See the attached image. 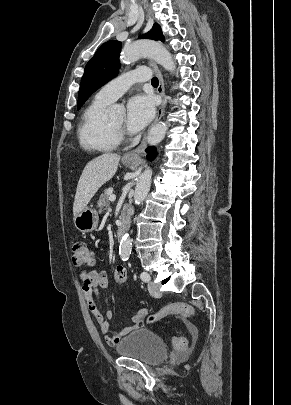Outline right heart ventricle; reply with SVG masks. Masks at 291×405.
<instances>
[{"label":"right heart ventricle","mask_w":291,"mask_h":405,"mask_svg":"<svg viewBox=\"0 0 291 405\" xmlns=\"http://www.w3.org/2000/svg\"><path fill=\"white\" fill-rule=\"evenodd\" d=\"M109 104L110 102L95 97L84 110L78 126V139L85 150L105 153L118 146V139L105 117Z\"/></svg>","instance_id":"e07e8e85"}]
</instances>
